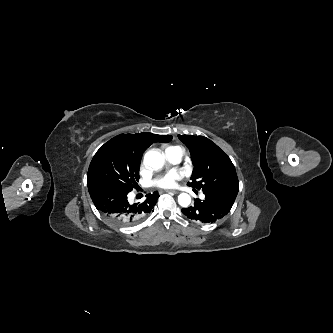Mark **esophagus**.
Masks as SVG:
<instances>
[{
	"label": "esophagus",
	"mask_w": 333,
	"mask_h": 333,
	"mask_svg": "<svg viewBox=\"0 0 333 333\" xmlns=\"http://www.w3.org/2000/svg\"><path fill=\"white\" fill-rule=\"evenodd\" d=\"M165 192L172 193V194H178L179 193L176 190H166Z\"/></svg>",
	"instance_id": "34e87169"
}]
</instances>
